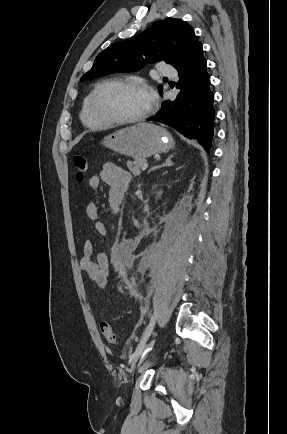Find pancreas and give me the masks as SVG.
<instances>
[{"label": "pancreas", "mask_w": 287, "mask_h": 434, "mask_svg": "<svg viewBox=\"0 0 287 434\" xmlns=\"http://www.w3.org/2000/svg\"><path fill=\"white\" fill-rule=\"evenodd\" d=\"M145 162V159H135L134 161H128L127 167L129 171L134 175L137 176L141 173V168L143 163Z\"/></svg>", "instance_id": "1"}]
</instances>
